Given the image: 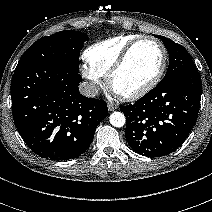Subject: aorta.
<instances>
[{
    "instance_id": "762f6f07",
    "label": "aorta",
    "mask_w": 212,
    "mask_h": 212,
    "mask_svg": "<svg viewBox=\"0 0 212 212\" xmlns=\"http://www.w3.org/2000/svg\"><path fill=\"white\" fill-rule=\"evenodd\" d=\"M109 121L112 126L120 128L125 125L126 118L122 112H113L109 117Z\"/></svg>"
}]
</instances>
